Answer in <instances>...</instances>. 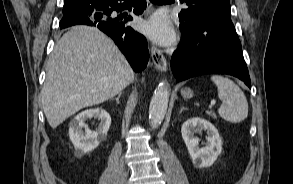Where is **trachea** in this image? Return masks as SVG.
<instances>
[{
	"label": "trachea",
	"mask_w": 293,
	"mask_h": 184,
	"mask_svg": "<svg viewBox=\"0 0 293 184\" xmlns=\"http://www.w3.org/2000/svg\"><path fill=\"white\" fill-rule=\"evenodd\" d=\"M161 1H165V0H150V2H152V3H159Z\"/></svg>",
	"instance_id": "obj_1"
}]
</instances>
